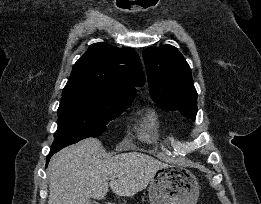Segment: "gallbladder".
<instances>
[{
  "mask_svg": "<svg viewBox=\"0 0 261 204\" xmlns=\"http://www.w3.org/2000/svg\"><path fill=\"white\" fill-rule=\"evenodd\" d=\"M88 204H98V203H96L95 201H90L89 200Z\"/></svg>",
  "mask_w": 261,
  "mask_h": 204,
  "instance_id": "obj_1",
  "label": "gallbladder"
}]
</instances>
